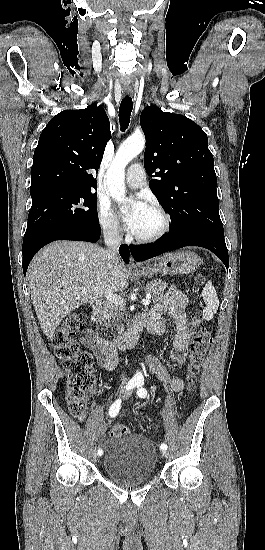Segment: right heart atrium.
Returning a JSON list of instances; mask_svg holds the SVG:
<instances>
[{"label":"right heart atrium","mask_w":265,"mask_h":550,"mask_svg":"<svg viewBox=\"0 0 265 550\" xmlns=\"http://www.w3.org/2000/svg\"><path fill=\"white\" fill-rule=\"evenodd\" d=\"M97 211L98 222L103 232L110 237H119L122 227L110 204L106 201H100Z\"/></svg>","instance_id":"1"}]
</instances>
